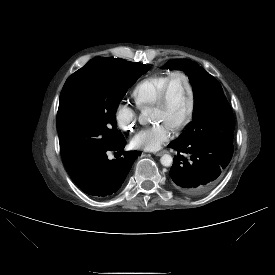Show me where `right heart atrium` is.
I'll use <instances>...</instances> for the list:
<instances>
[{
	"label": "right heart atrium",
	"mask_w": 275,
	"mask_h": 275,
	"mask_svg": "<svg viewBox=\"0 0 275 275\" xmlns=\"http://www.w3.org/2000/svg\"><path fill=\"white\" fill-rule=\"evenodd\" d=\"M137 110L126 102H119L114 111V118L119 128L132 131L137 121Z\"/></svg>",
	"instance_id": "obj_1"
}]
</instances>
